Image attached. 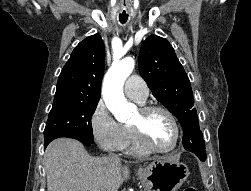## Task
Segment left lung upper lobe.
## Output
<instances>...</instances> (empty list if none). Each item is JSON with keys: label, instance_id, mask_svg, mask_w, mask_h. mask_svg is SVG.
I'll list each match as a JSON object with an SVG mask.
<instances>
[{"label": "left lung upper lobe", "instance_id": "1", "mask_svg": "<svg viewBox=\"0 0 251 191\" xmlns=\"http://www.w3.org/2000/svg\"><path fill=\"white\" fill-rule=\"evenodd\" d=\"M139 72L154 97L179 119L183 127L184 148L205 161V141L194 108L190 81L166 39L151 35L143 42Z\"/></svg>", "mask_w": 251, "mask_h": 191}]
</instances>
